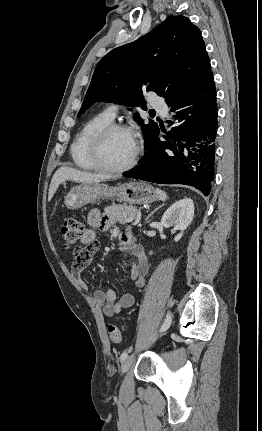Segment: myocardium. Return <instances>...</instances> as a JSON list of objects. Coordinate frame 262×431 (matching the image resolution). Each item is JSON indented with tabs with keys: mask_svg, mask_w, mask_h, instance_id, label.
Returning <instances> with one entry per match:
<instances>
[{
	"mask_svg": "<svg viewBox=\"0 0 262 431\" xmlns=\"http://www.w3.org/2000/svg\"><path fill=\"white\" fill-rule=\"evenodd\" d=\"M115 132H126L131 135H134L133 130L129 126L118 123H111L103 127L96 133L92 140L90 152L91 160L93 161L97 169L111 174L123 173L133 168L136 165L141 153V145L136 142L134 153L131 159L126 164L120 167H112L108 165L103 157V147L106 139Z\"/></svg>",
	"mask_w": 262,
	"mask_h": 431,
	"instance_id": "myocardium-1",
	"label": "myocardium"
}]
</instances>
